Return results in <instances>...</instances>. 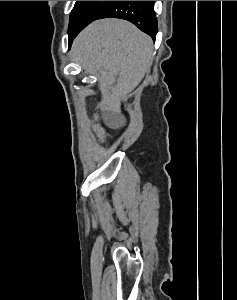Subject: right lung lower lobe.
Returning a JSON list of instances; mask_svg holds the SVG:
<instances>
[{
  "label": "right lung lower lobe",
  "mask_w": 237,
  "mask_h": 300,
  "mask_svg": "<svg viewBox=\"0 0 237 300\" xmlns=\"http://www.w3.org/2000/svg\"><path fill=\"white\" fill-rule=\"evenodd\" d=\"M153 7L154 1H113L97 19L120 18L128 20L155 40L157 20Z\"/></svg>",
  "instance_id": "obj_1"
}]
</instances>
